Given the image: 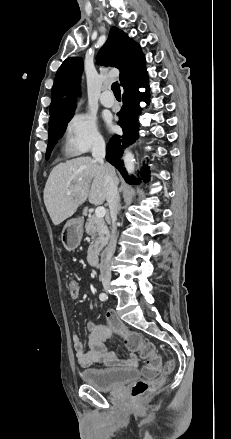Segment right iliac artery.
Returning <instances> with one entry per match:
<instances>
[{"label":"right iliac artery","mask_w":231,"mask_h":439,"mask_svg":"<svg viewBox=\"0 0 231 439\" xmlns=\"http://www.w3.org/2000/svg\"><path fill=\"white\" fill-rule=\"evenodd\" d=\"M99 299H100L101 301H105V300L108 299V296H107V294H105V293H101V294L99 295Z\"/></svg>","instance_id":"1"}]
</instances>
